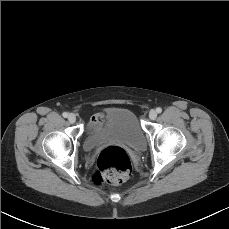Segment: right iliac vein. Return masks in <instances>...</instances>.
<instances>
[{"mask_svg":"<svg viewBox=\"0 0 229 229\" xmlns=\"http://www.w3.org/2000/svg\"><path fill=\"white\" fill-rule=\"evenodd\" d=\"M68 120L69 122L74 123L76 121V116L71 113L68 115Z\"/></svg>","mask_w":229,"mask_h":229,"instance_id":"1","label":"right iliac vein"}]
</instances>
